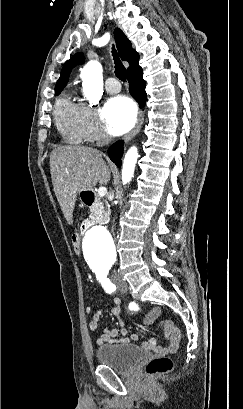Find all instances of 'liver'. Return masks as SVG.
Returning a JSON list of instances; mask_svg holds the SVG:
<instances>
[{
    "label": "liver",
    "mask_w": 243,
    "mask_h": 409,
    "mask_svg": "<svg viewBox=\"0 0 243 409\" xmlns=\"http://www.w3.org/2000/svg\"><path fill=\"white\" fill-rule=\"evenodd\" d=\"M50 172L55 195L69 225L77 194L92 189L97 183L106 185L110 169L102 154L83 146H61L50 154Z\"/></svg>",
    "instance_id": "6515ba94"
}]
</instances>
